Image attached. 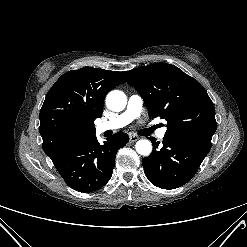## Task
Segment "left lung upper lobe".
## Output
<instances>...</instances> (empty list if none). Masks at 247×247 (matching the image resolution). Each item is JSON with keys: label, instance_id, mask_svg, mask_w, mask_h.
<instances>
[{"label": "left lung upper lobe", "instance_id": "obj_1", "mask_svg": "<svg viewBox=\"0 0 247 247\" xmlns=\"http://www.w3.org/2000/svg\"><path fill=\"white\" fill-rule=\"evenodd\" d=\"M122 73L143 97L149 114L167 121L165 138L210 151L216 131L215 108L198 81L167 63Z\"/></svg>", "mask_w": 247, "mask_h": 247}]
</instances>
